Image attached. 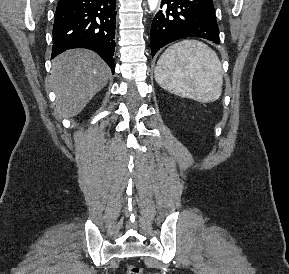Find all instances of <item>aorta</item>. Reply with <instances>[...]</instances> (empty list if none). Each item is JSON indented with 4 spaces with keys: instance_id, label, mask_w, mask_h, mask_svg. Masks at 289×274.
<instances>
[{
    "instance_id": "aorta-1",
    "label": "aorta",
    "mask_w": 289,
    "mask_h": 274,
    "mask_svg": "<svg viewBox=\"0 0 289 274\" xmlns=\"http://www.w3.org/2000/svg\"><path fill=\"white\" fill-rule=\"evenodd\" d=\"M158 2H159V0H148V5H149L151 11L156 9Z\"/></svg>"
}]
</instances>
